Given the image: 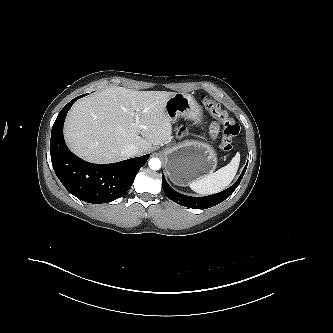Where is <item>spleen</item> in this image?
I'll return each mask as SVG.
<instances>
[{"instance_id": "3e777b00", "label": "spleen", "mask_w": 333, "mask_h": 333, "mask_svg": "<svg viewBox=\"0 0 333 333\" xmlns=\"http://www.w3.org/2000/svg\"><path fill=\"white\" fill-rule=\"evenodd\" d=\"M240 163V153L231 162L216 172L189 183V187L202 195L214 194L225 189L234 179Z\"/></svg>"}]
</instances>
